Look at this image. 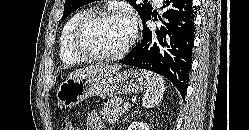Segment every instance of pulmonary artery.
Masks as SVG:
<instances>
[{"label":"pulmonary artery","instance_id":"pulmonary-artery-1","mask_svg":"<svg viewBox=\"0 0 249 130\" xmlns=\"http://www.w3.org/2000/svg\"><path fill=\"white\" fill-rule=\"evenodd\" d=\"M156 4H161L162 3V0H154Z\"/></svg>","mask_w":249,"mask_h":130}]
</instances>
